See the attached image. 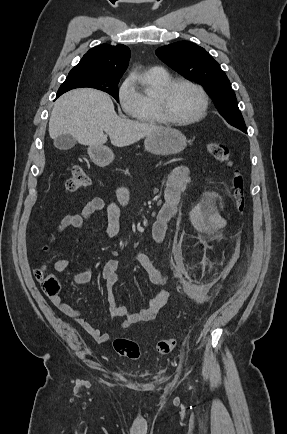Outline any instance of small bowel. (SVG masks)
I'll list each match as a JSON object with an SVG mask.
<instances>
[{"mask_svg":"<svg viewBox=\"0 0 287 434\" xmlns=\"http://www.w3.org/2000/svg\"><path fill=\"white\" fill-rule=\"evenodd\" d=\"M189 183L190 174L186 166H175L167 173L164 181L165 191L163 202L159 207L157 219L152 228V238L155 242H165L169 222L176 215L180 198ZM128 200L129 192L127 187L120 188L117 201L109 204H106L101 197H94L84 205L80 213L66 216L58 226V232L62 234L69 228L82 230L93 214L104 212L107 221L106 235L108 238H116L121 233V204H125ZM134 260L144 270L150 283L154 285H163L166 283V276L144 252L137 251L134 255ZM68 264L69 262L66 259H57L54 262V270L56 272H63L68 267ZM118 265L119 261L117 259H110L102 269V277L107 281L110 287L117 281L116 270ZM92 274L91 268H87L83 271L73 273L71 279L76 284H84L91 280ZM168 299V291L166 289H159L155 291L150 298L147 308L139 313H131L127 307L118 303L113 293H110V312L114 315L124 317L121 327L125 329L135 323L152 320L158 311L167 303ZM51 300L62 313L72 317L96 342L105 343L109 340L107 333L101 332L98 328L92 326L81 317L77 309L63 301L59 296L51 297Z\"/></svg>","mask_w":287,"mask_h":434,"instance_id":"c3829d8e","label":"small bowel"}]
</instances>
